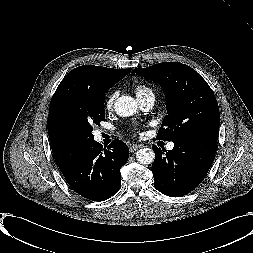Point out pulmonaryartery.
<instances>
[{
    "label": "pulmonary artery",
    "instance_id": "obj_1",
    "mask_svg": "<svg viewBox=\"0 0 253 253\" xmlns=\"http://www.w3.org/2000/svg\"><path fill=\"white\" fill-rule=\"evenodd\" d=\"M139 101H140L141 108L144 111H150L153 108L154 104H155V96H149V97H146V98L141 99ZM173 148H174L173 143H169L167 145V149L171 150Z\"/></svg>",
    "mask_w": 253,
    "mask_h": 253
}]
</instances>
